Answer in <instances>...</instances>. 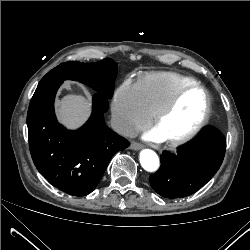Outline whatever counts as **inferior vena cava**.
<instances>
[{
	"label": "inferior vena cava",
	"mask_w": 250,
	"mask_h": 250,
	"mask_svg": "<svg viewBox=\"0 0 250 250\" xmlns=\"http://www.w3.org/2000/svg\"><path fill=\"white\" fill-rule=\"evenodd\" d=\"M111 127L116 133H118L120 135H123L126 137H134L135 136V132H134L133 128L131 127V125L123 119L113 117L111 119Z\"/></svg>",
	"instance_id": "1"
}]
</instances>
